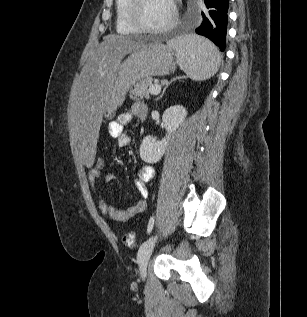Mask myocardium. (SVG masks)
I'll list each match as a JSON object with an SVG mask.
<instances>
[{
	"label": "myocardium",
	"mask_w": 307,
	"mask_h": 317,
	"mask_svg": "<svg viewBox=\"0 0 307 317\" xmlns=\"http://www.w3.org/2000/svg\"><path fill=\"white\" fill-rule=\"evenodd\" d=\"M170 2L172 5L171 19L165 25L159 28H153L146 25L141 17V10L144 0H130V4L127 9L130 24L136 31L140 33L158 35L169 32L177 24L179 17L175 0H170Z\"/></svg>",
	"instance_id": "myocardium-1"
}]
</instances>
